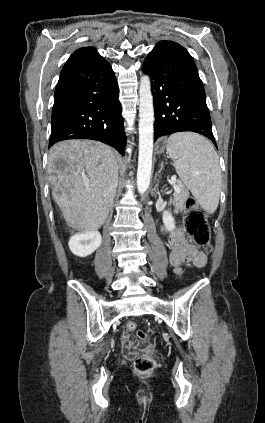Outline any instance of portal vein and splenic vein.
Wrapping results in <instances>:
<instances>
[{
	"mask_svg": "<svg viewBox=\"0 0 265 423\" xmlns=\"http://www.w3.org/2000/svg\"><path fill=\"white\" fill-rule=\"evenodd\" d=\"M175 192H180V188L178 186L175 187Z\"/></svg>",
	"mask_w": 265,
	"mask_h": 423,
	"instance_id": "portal-vein-and-splenic-vein-1",
	"label": "portal vein and splenic vein"
}]
</instances>
